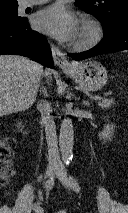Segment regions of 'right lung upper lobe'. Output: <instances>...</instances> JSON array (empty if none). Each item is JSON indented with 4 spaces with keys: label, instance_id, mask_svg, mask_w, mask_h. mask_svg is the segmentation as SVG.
Listing matches in <instances>:
<instances>
[{
    "label": "right lung upper lobe",
    "instance_id": "right-lung-upper-lobe-1",
    "mask_svg": "<svg viewBox=\"0 0 128 213\" xmlns=\"http://www.w3.org/2000/svg\"><path fill=\"white\" fill-rule=\"evenodd\" d=\"M18 5L17 0H0V7Z\"/></svg>",
    "mask_w": 128,
    "mask_h": 213
}]
</instances>
